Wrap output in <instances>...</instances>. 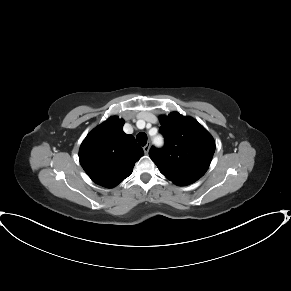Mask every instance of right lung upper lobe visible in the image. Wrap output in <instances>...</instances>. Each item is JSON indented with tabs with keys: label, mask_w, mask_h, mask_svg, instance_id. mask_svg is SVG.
I'll return each mask as SVG.
<instances>
[{
	"label": "right lung upper lobe",
	"mask_w": 291,
	"mask_h": 291,
	"mask_svg": "<svg viewBox=\"0 0 291 291\" xmlns=\"http://www.w3.org/2000/svg\"><path fill=\"white\" fill-rule=\"evenodd\" d=\"M124 120L110 117L84 139L79 150L81 166L95 183L113 188L131 175L144 155L132 135L122 130Z\"/></svg>",
	"instance_id": "obj_1"
}]
</instances>
